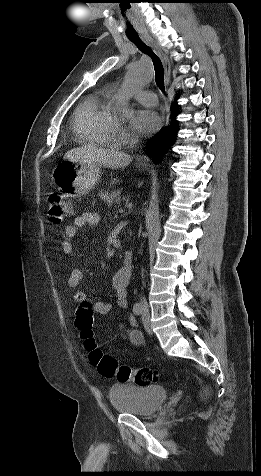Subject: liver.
Wrapping results in <instances>:
<instances>
[{"label":"liver","instance_id":"obj_1","mask_svg":"<svg viewBox=\"0 0 261 476\" xmlns=\"http://www.w3.org/2000/svg\"><path fill=\"white\" fill-rule=\"evenodd\" d=\"M64 159L72 162L94 163L111 169L124 168L132 161L131 156L126 153L90 144L68 151Z\"/></svg>","mask_w":261,"mask_h":476}]
</instances>
